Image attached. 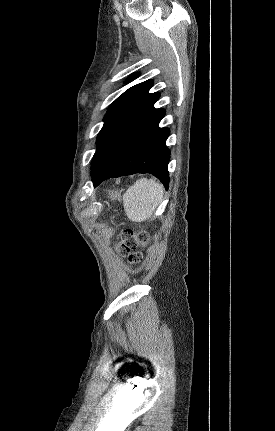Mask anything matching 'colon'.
<instances>
[{"label":"colon","mask_w":275,"mask_h":431,"mask_svg":"<svg viewBox=\"0 0 275 431\" xmlns=\"http://www.w3.org/2000/svg\"><path fill=\"white\" fill-rule=\"evenodd\" d=\"M145 242L144 233H133L131 230H127L121 241L118 243L117 248L118 251L127 256L130 261H136L139 258V253L136 251V247L139 244Z\"/></svg>","instance_id":"obj_1"}]
</instances>
